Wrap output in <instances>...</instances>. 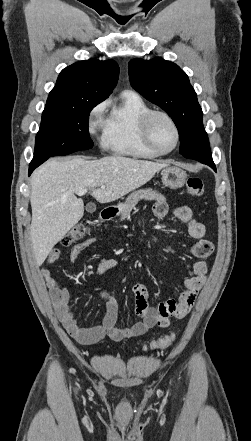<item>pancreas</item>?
I'll return each instance as SVG.
<instances>
[{
    "label": "pancreas",
    "instance_id": "pancreas-1",
    "mask_svg": "<svg viewBox=\"0 0 251 441\" xmlns=\"http://www.w3.org/2000/svg\"><path fill=\"white\" fill-rule=\"evenodd\" d=\"M161 200L164 201L165 197L159 193L156 190H153L151 188H146V189H140L137 191H134L133 193H131L125 203L123 204L122 208H121V218L122 219H127L130 217L131 211L135 208V206L137 205V203L140 200Z\"/></svg>",
    "mask_w": 251,
    "mask_h": 441
}]
</instances>
